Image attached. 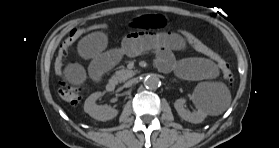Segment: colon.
<instances>
[{
	"label": "colon",
	"instance_id": "colon-1",
	"mask_svg": "<svg viewBox=\"0 0 279 148\" xmlns=\"http://www.w3.org/2000/svg\"><path fill=\"white\" fill-rule=\"evenodd\" d=\"M105 28H107V24L103 22H94L84 28H75L71 30L69 36L66 38V40L62 43V45L59 48L57 57L54 62L55 73L62 79L59 95L65 102L71 105H78L82 100V95L81 89L77 85L71 83L66 78L65 66L68 51L70 47L84 35ZM179 33L188 41V43L196 51L204 54L217 64V66L221 69L223 73L225 81L228 84L233 83L234 77L228 62H226L218 53H216L207 45H205L191 32L187 30H179Z\"/></svg>",
	"mask_w": 279,
	"mask_h": 148
}]
</instances>
